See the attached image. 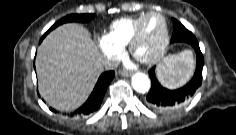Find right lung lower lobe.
<instances>
[{
	"label": "right lung lower lobe",
	"instance_id": "98d812e1",
	"mask_svg": "<svg viewBox=\"0 0 236 135\" xmlns=\"http://www.w3.org/2000/svg\"><path fill=\"white\" fill-rule=\"evenodd\" d=\"M45 36L46 35L44 34V36L41 38V41ZM114 76V71H107L101 74L88 100L79 109L72 112L70 114L71 117H83L96 111L100 107L101 102L106 93L107 87L114 78Z\"/></svg>",
	"mask_w": 236,
	"mask_h": 135
}]
</instances>
